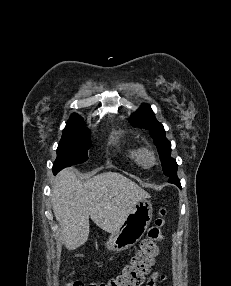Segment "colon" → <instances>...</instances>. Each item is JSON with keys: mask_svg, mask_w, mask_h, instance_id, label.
Instances as JSON below:
<instances>
[{"mask_svg": "<svg viewBox=\"0 0 231 286\" xmlns=\"http://www.w3.org/2000/svg\"><path fill=\"white\" fill-rule=\"evenodd\" d=\"M166 211L161 210L160 216L149 229L147 237L142 240L139 249L124 266L119 275L105 282L85 284L83 282H69L66 286H141L145 276L150 272L155 258L159 253V243L164 238L166 226Z\"/></svg>", "mask_w": 231, "mask_h": 286, "instance_id": "obj_1", "label": "colon"}]
</instances>
